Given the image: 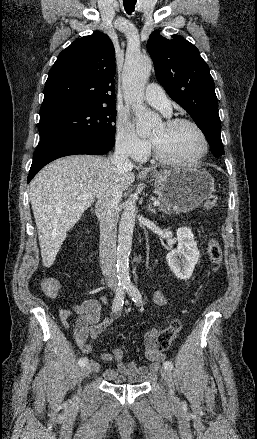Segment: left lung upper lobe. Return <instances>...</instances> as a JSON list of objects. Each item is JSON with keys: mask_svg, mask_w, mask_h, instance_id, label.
<instances>
[{"mask_svg": "<svg viewBox=\"0 0 257 439\" xmlns=\"http://www.w3.org/2000/svg\"><path fill=\"white\" fill-rule=\"evenodd\" d=\"M169 40L152 32L147 50L156 78L202 130L216 158L224 154L214 81L199 50L181 36Z\"/></svg>", "mask_w": 257, "mask_h": 439, "instance_id": "left-lung-upper-lobe-1", "label": "left lung upper lobe"}]
</instances>
